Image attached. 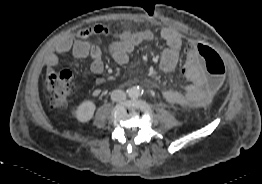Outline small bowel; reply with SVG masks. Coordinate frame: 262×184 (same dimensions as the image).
Instances as JSON below:
<instances>
[{
  "label": "small bowel",
  "mask_w": 262,
  "mask_h": 184,
  "mask_svg": "<svg viewBox=\"0 0 262 184\" xmlns=\"http://www.w3.org/2000/svg\"><path fill=\"white\" fill-rule=\"evenodd\" d=\"M111 33L112 31L107 26L98 24L79 30L77 33L79 40H75L72 36L62 37L56 43L55 52H51L46 56V68L52 70L59 63L58 55L71 52L78 59L90 58L91 71L95 75L102 74L104 71L102 50L91 38L94 36L108 37ZM160 34L166 44V48L161 54L159 65L163 71L169 72L178 65L184 36L180 31L172 27L163 28ZM153 39L154 34L150 30L119 31L117 32V39L110 45L111 56L117 64L125 65L129 61V55L137 46ZM195 52V42L192 40L187 41L182 54L186 62L182 65L181 70L183 74H186L189 84L183 91L168 89L163 92V98L171 105L201 107L206 105L211 99L212 89L204 82V64L197 58ZM103 83L104 79L102 77L96 79L97 85H102Z\"/></svg>",
  "instance_id": "obj_1"
}]
</instances>
